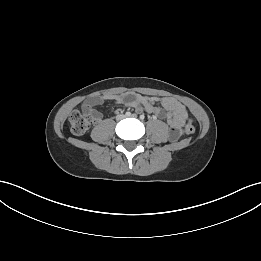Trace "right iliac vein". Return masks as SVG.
I'll list each match as a JSON object with an SVG mask.
<instances>
[{"label":"right iliac vein","mask_w":261,"mask_h":261,"mask_svg":"<svg viewBox=\"0 0 261 261\" xmlns=\"http://www.w3.org/2000/svg\"><path fill=\"white\" fill-rule=\"evenodd\" d=\"M124 118V116L122 115V114H119L118 116H117V120H121V119H123Z\"/></svg>","instance_id":"1"}]
</instances>
